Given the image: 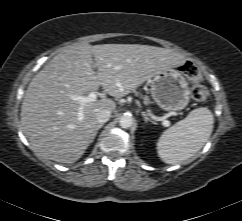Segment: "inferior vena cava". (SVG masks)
Returning a JSON list of instances; mask_svg holds the SVG:
<instances>
[{"mask_svg":"<svg viewBox=\"0 0 242 221\" xmlns=\"http://www.w3.org/2000/svg\"><path fill=\"white\" fill-rule=\"evenodd\" d=\"M95 114L96 120L100 124L107 122L111 117V111L108 109H97Z\"/></svg>","mask_w":242,"mask_h":221,"instance_id":"602c4592","label":"inferior vena cava"}]
</instances>
